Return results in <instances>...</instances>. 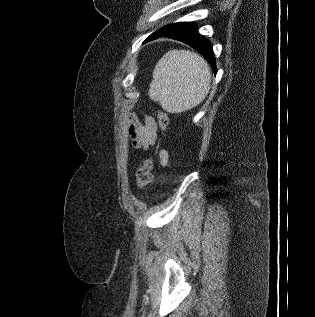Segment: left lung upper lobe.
I'll use <instances>...</instances> for the list:
<instances>
[{"instance_id": "5c2ea615", "label": "left lung upper lobe", "mask_w": 315, "mask_h": 317, "mask_svg": "<svg viewBox=\"0 0 315 317\" xmlns=\"http://www.w3.org/2000/svg\"><path fill=\"white\" fill-rule=\"evenodd\" d=\"M173 24H169V25H166L164 27H162L161 29L157 30L156 32H154L153 34H151L149 37L151 36H156V35H159V34H162L164 33L165 31H167ZM149 37L145 40V41H150L148 40Z\"/></svg>"}]
</instances>
